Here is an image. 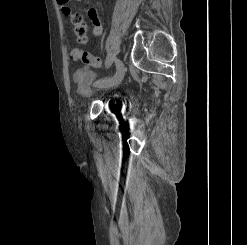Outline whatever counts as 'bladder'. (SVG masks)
I'll use <instances>...</instances> for the list:
<instances>
[{
  "label": "bladder",
  "mask_w": 247,
  "mask_h": 245,
  "mask_svg": "<svg viewBox=\"0 0 247 245\" xmlns=\"http://www.w3.org/2000/svg\"><path fill=\"white\" fill-rule=\"evenodd\" d=\"M75 80L78 86V93L84 100H91L97 95V91L94 88L97 83L95 80V73L87 68L80 69L75 73ZM118 94L116 92H109L107 94L108 100L113 101Z\"/></svg>",
  "instance_id": "1"
}]
</instances>
